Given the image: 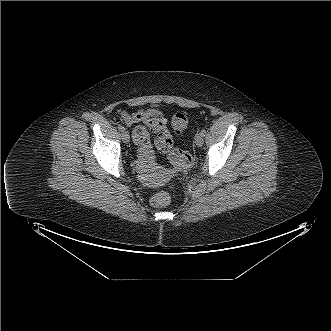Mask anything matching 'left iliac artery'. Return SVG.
<instances>
[{
	"label": "left iliac artery",
	"instance_id": "left-iliac-artery-1",
	"mask_svg": "<svg viewBox=\"0 0 331 331\" xmlns=\"http://www.w3.org/2000/svg\"><path fill=\"white\" fill-rule=\"evenodd\" d=\"M203 136H205V134H206V130L203 128L202 130H201V132H200Z\"/></svg>",
	"mask_w": 331,
	"mask_h": 331
}]
</instances>
